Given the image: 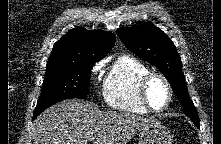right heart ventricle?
Masks as SVG:
<instances>
[{
  "instance_id": "e07e8e85",
  "label": "right heart ventricle",
  "mask_w": 221,
  "mask_h": 144,
  "mask_svg": "<svg viewBox=\"0 0 221 144\" xmlns=\"http://www.w3.org/2000/svg\"><path fill=\"white\" fill-rule=\"evenodd\" d=\"M149 70L144 63L131 56H119L110 66L103 85V97L113 109L145 114L138 95V82Z\"/></svg>"
}]
</instances>
